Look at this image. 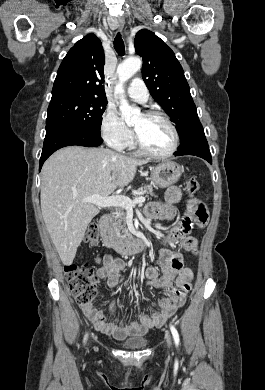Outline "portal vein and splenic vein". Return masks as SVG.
Here are the masks:
<instances>
[{
  "label": "portal vein and splenic vein",
  "mask_w": 265,
  "mask_h": 390,
  "mask_svg": "<svg viewBox=\"0 0 265 390\" xmlns=\"http://www.w3.org/2000/svg\"><path fill=\"white\" fill-rule=\"evenodd\" d=\"M145 201V197L140 196L136 197L133 200L126 196L116 195V196H100L93 195L87 198H84L82 202H87L94 204L98 207H122L125 209H132L136 206V204L143 203Z\"/></svg>",
  "instance_id": "18ae733b"
}]
</instances>
